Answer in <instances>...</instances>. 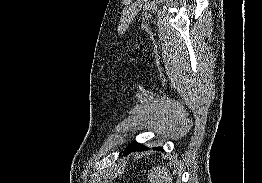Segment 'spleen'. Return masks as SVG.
Segmentation results:
<instances>
[{
  "mask_svg": "<svg viewBox=\"0 0 262 183\" xmlns=\"http://www.w3.org/2000/svg\"><path fill=\"white\" fill-rule=\"evenodd\" d=\"M147 176L151 183H172V176L169 171L159 165L152 168Z\"/></svg>",
  "mask_w": 262,
  "mask_h": 183,
  "instance_id": "1",
  "label": "spleen"
}]
</instances>
